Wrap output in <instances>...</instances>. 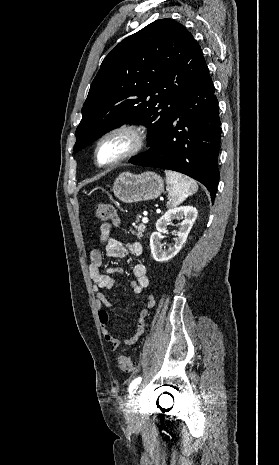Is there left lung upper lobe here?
Segmentation results:
<instances>
[{
	"mask_svg": "<svg viewBox=\"0 0 279 465\" xmlns=\"http://www.w3.org/2000/svg\"><path fill=\"white\" fill-rule=\"evenodd\" d=\"M203 52L173 19L156 20L125 38L103 60L82 108L75 151L124 123L148 127V147L176 116Z\"/></svg>",
	"mask_w": 279,
	"mask_h": 465,
	"instance_id": "5c2ea615",
	"label": "left lung upper lobe"
}]
</instances>
